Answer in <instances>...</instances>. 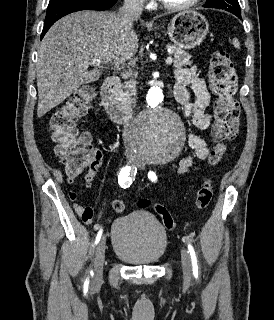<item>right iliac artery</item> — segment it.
<instances>
[{
    "label": "right iliac artery",
    "mask_w": 274,
    "mask_h": 320,
    "mask_svg": "<svg viewBox=\"0 0 274 320\" xmlns=\"http://www.w3.org/2000/svg\"><path fill=\"white\" fill-rule=\"evenodd\" d=\"M137 173L136 167L125 166L119 173L118 182L122 188H128L132 184V180ZM103 229H100L95 240V244L99 243Z\"/></svg>",
    "instance_id": "right-iliac-artery-1"
}]
</instances>
